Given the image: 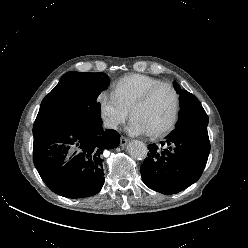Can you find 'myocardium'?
I'll return each mask as SVG.
<instances>
[{
  "label": "myocardium",
  "instance_id": "1",
  "mask_svg": "<svg viewBox=\"0 0 248 248\" xmlns=\"http://www.w3.org/2000/svg\"><path fill=\"white\" fill-rule=\"evenodd\" d=\"M162 87H168L172 90L173 94H174V108H173V112L171 115V118L169 119V121L167 122V124L162 127L161 129H159L158 131L152 132V133H147V135L151 138H158L161 137L163 135H165L166 133H168L169 131H171L173 129V127L175 126L176 122H177V118H178V114H179V108H180V95L178 93V91L176 90V88L170 84V83H166V82H162L159 83L151 88H149L142 96L141 98L134 104V106L132 107L131 111H130V117L133 120L135 114L142 109L150 100L151 96L160 88Z\"/></svg>",
  "mask_w": 248,
  "mask_h": 248
}]
</instances>
